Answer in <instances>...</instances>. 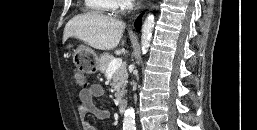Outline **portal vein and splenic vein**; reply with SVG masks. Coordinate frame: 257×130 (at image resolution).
Listing matches in <instances>:
<instances>
[{
	"label": "portal vein and splenic vein",
	"instance_id": "1",
	"mask_svg": "<svg viewBox=\"0 0 257 130\" xmlns=\"http://www.w3.org/2000/svg\"><path fill=\"white\" fill-rule=\"evenodd\" d=\"M122 65V59L120 58H117V59H113L109 66H108V69H107V73H110V72H114L116 71L120 66Z\"/></svg>",
	"mask_w": 257,
	"mask_h": 130
}]
</instances>
